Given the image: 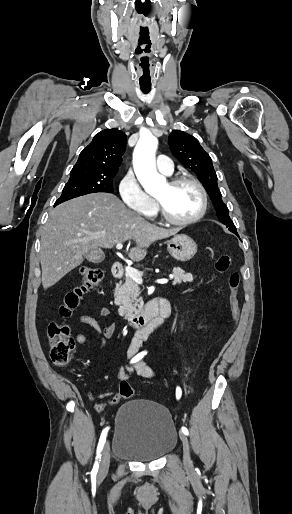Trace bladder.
I'll list each match as a JSON object with an SVG mask.
<instances>
[{
  "instance_id": "31cf9c89",
  "label": "bladder",
  "mask_w": 292,
  "mask_h": 514,
  "mask_svg": "<svg viewBox=\"0 0 292 514\" xmlns=\"http://www.w3.org/2000/svg\"><path fill=\"white\" fill-rule=\"evenodd\" d=\"M177 430L163 405L145 399L122 404L116 414L113 454L121 460L156 461L176 446Z\"/></svg>"
}]
</instances>
